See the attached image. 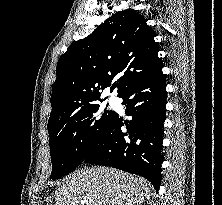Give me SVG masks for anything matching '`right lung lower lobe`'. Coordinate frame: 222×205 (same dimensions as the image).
I'll list each match as a JSON object with an SVG mask.
<instances>
[{
	"mask_svg": "<svg viewBox=\"0 0 222 205\" xmlns=\"http://www.w3.org/2000/svg\"><path fill=\"white\" fill-rule=\"evenodd\" d=\"M166 79L162 68L130 85L120 96L125 113L116 114L112 123L98 136L84 161L140 175L158 191L161 185L163 123L166 115ZM127 131L121 130L122 126Z\"/></svg>",
	"mask_w": 222,
	"mask_h": 205,
	"instance_id": "right-lung-lower-lobe-1",
	"label": "right lung lower lobe"
}]
</instances>
